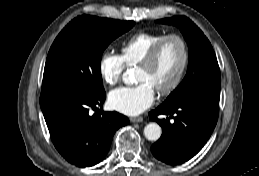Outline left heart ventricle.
<instances>
[{
  "mask_svg": "<svg viewBox=\"0 0 259 176\" xmlns=\"http://www.w3.org/2000/svg\"><path fill=\"white\" fill-rule=\"evenodd\" d=\"M182 62V49L178 41L169 40L162 47L155 63L137 68L138 82H147L155 90L168 85L176 76Z\"/></svg>",
  "mask_w": 259,
  "mask_h": 176,
  "instance_id": "obj_1",
  "label": "left heart ventricle"
}]
</instances>
